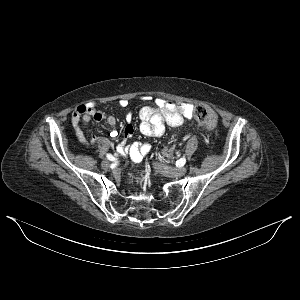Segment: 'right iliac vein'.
Segmentation results:
<instances>
[{
	"mask_svg": "<svg viewBox=\"0 0 300 300\" xmlns=\"http://www.w3.org/2000/svg\"><path fill=\"white\" fill-rule=\"evenodd\" d=\"M102 167H103L105 170L110 169V162L107 161V160L102 161Z\"/></svg>",
	"mask_w": 300,
	"mask_h": 300,
	"instance_id": "1",
	"label": "right iliac vein"
}]
</instances>
